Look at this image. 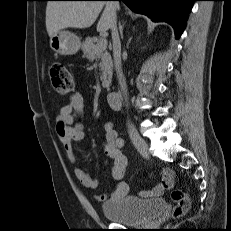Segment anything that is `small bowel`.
<instances>
[{"instance_id": "c3829d8e", "label": "small bowel", "mask_w": 231, "mask_h": 231, "mask_svg": "<svg viewBox=\"0 0 231 231\" xmlns=\"http://www.w3.org/2000/svg\"><path fill=\"white\" fill-rule=\"evenodd\" d=\"M84 97L80 93L71 95L69 102L63 105L56 116L54 129L55 133L71 163L77 162L74 151V143L84 138ZM105 138L103 150L106 157L112 161L111 176L118 181L115 187L108 193L96 196L98 201H118L125 198L129 188L126 183L120 182L123 178L127 166V158L122 153L121 138L114 129V124L108 121L104 124ZM75 176L83 186L90 189H97L99 181L89 175L84 169L76 168ZM174 186V173L169 169L162 171V180L151 190L144 191L143 196L158 197Z\"/></svg>"}]
</instances>
